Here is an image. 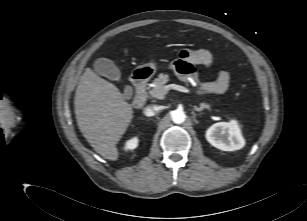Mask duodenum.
Wrapping results in <instances>:
<instances>
[{"label":"duodenum","instance_id":"duodenum-1","mask_svg":"<svg viewBox=\"0 0 307 221\" xmlns=\"http://www.w3.org/2000/svg\"><path fill=\"white\" fill-rule=\"evenodd\" d=\"M151 77L150 69L137 70L132 74V83L135 86V95L132 101L134 108L142 109L147 99V83Z\"/></svg>","mask_w":307,"mask_h":221}]
</instances>
